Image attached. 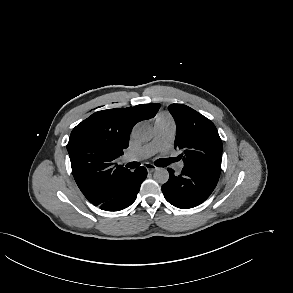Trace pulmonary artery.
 Returning <instances> with one entry per match:
<instances>
[{
	"instance_id": "1",
	"label": "pulmonary artery",
	"mask_w": 293,
	"mask_h": 293,
	"mask_svg": "<svg viewBox=\"0 0 293 293\" xmlns=\"http://www.w3.org/2000/svg\"><path fill=\"white\" fill-rule=\"evenodd\" d=\"M155 137L153 141L147 145H144L133 152L124 156V162H137L148 159L154 155L157 151L167 147L174 138L175 124L174 123H155ZM176 170L180 171L183 168V163H178L175 166Z\"/></svg>"
}]
</instances>
